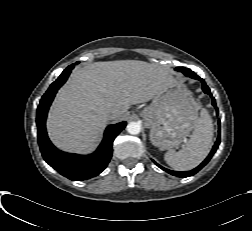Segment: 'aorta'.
I'll list each match as a JSON object with an SVG mask.
<instances>
[{"instance_id":"aorta-1","label":"aorta","mask_w":252,"mask_h":231,"mask_svg":"<svg viewBox=\"0 0 252 231\" xmlns=\"http://www.w3.org/2000/svg\"><path fill=\"white\" fill-rule=\"evenodd\" d=\"M126 130L132 135L139 134L141 131V124L138 122H130L126 127Z\"/></svg>"}]
</instances>
